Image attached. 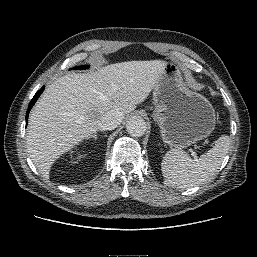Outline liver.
<instances>
[{
	"label": "liver",
	"instance_id": "6515ba94",
	"mask_svg": "<svg viewBox=\"0 0 257 257\" xmlns=\"http://www.w3.org/2000/svg\"><path fill=\"white\" fill-rule=\"evenodd\" d=\"M165 61H128L97 72L71 73L49 85L31 111L27 149L39 172L49 178L54 161L97 131L112 110L132 112L154 89Z\"/></svg>",
	"mask_w": 257,
	"mask_h": 257
}]
</instances>
